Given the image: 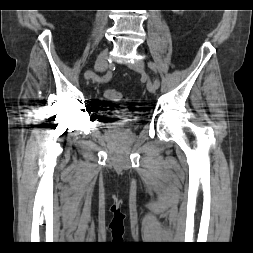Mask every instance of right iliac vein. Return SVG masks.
I'll use <instances>...</instances> for the list:
<instances>
[{"label":"right iliac vein","instance_id":"63e3f726","mask_svg":"<svg viewBox=\"0 0 253 253\" xmlns=\"http://www.w3.org/2000/svg\"><path fill=\"white\" fill-rule=\"evenodd\" d=\"M107 55H108V50L103 49L100 54L97 57V60L95 62L94 70L97 72H104L107 69ZM93 72L87 71L85 73V78L89 79L91 78V75Z\"/></svg>","mask_w":253,"mask_h":253}]
</instances>
